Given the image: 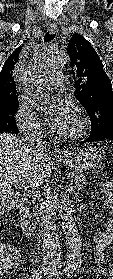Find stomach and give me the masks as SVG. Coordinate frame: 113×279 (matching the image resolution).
I'll list each match as a JSON object with an SVG mask.
<instances>
[{"mask_svg": "<svg viewBox=\"0 0 113 279\" xmlns=\"http://www.w3.org/2000/svg\"><path fill=\"white\" fill-rule=\"evenodd\" d=\"M61 160L70 168L81 172L92 170L103 160L102 153L94 145H83L61 156Z\"/></svg>", "mask_w": 113, "mask_h": 279, "instance_id": "stomach-1", "label": "stomach"}]
</instances>
